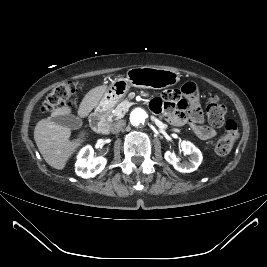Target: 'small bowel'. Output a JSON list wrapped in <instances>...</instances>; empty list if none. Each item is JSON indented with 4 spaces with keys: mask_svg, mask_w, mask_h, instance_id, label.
Here are the masks:
<instances>
[{
    "mask_svg": "<svg viewBox=\"0 0 267 267\" xmlns=\"http://www.w3.org/2000/svg\"><path fill=\"white\" fill-rule=\"evenodd\" d=\"M150 108L155 113L163 114L173 125H188L202 140H209L216 135L213 128L204 124L198 88L192 82L179 90H167L161 97L152 99Z\"/></svg>",
    "mask_w": 267,
    "mask_h": 267,
    "instance_id": "c3829d8e",
    "label": "small bowel"
}]
</instances>
